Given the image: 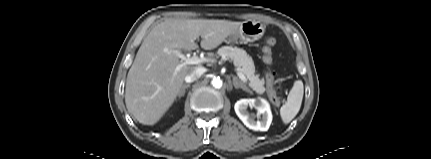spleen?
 I'll return each instance as SVG.
<instances>
[{"instance_id": "obj_1", "label": "spleen", "mask_w": 431, "mask_h": 159, "mask_svg": "<svg viewBox=\"0 0 431 159\" xmlns=\"http://www.w3.org/2000/svg\"><path fill=\"white\" fill-rule=\"evenodd\" d=\"M303 94H304L303 82L301 80L295 81L287 97L286 103L282 105V107L280 108V116L283 123L285 124L290 123L298 114L301 107Z\"/></svg>"}]
</instances>
